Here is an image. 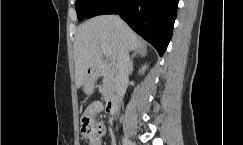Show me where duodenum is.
Listing matches in <instances>:
<instances>
[{
	"label": "duodenum",
	"mask_w": 243,
	"mask_h": 145,
	"mask_svg": "<svg viewBox=\"0 0 243 145\" xmlns=\"http://www.w3.org/2000/svg\"><path fill=\"white\" fill-rule=\"evenodd\" d=\"M113 70L106 65H94L89 69L90 79L93 80ZM118 109V102L115 98H109L106 103V110L109 114L115 115Z\"/></svg>",
	"instance_id": "duodenum-1"
}]
</instances>
